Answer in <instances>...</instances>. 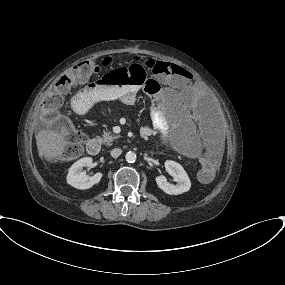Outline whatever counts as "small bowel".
Here are the masks:
<instances>
[{
  "label": "small bowel",
  "mask_w": 285,
  "mask_h": 285,
  "mask_svg": "<svg viewBox=\"0 0 285 285\" xmlns=\"http://www.w3.org/2000/svg\"><path fill=\"white\" fill-rule=\"evenodd\" d=\"M185 84L186 79L183 76L174 82V86L180 89H183ZM140 88V86L132 85L104 87L96 82H90L71 97L70 105L75 112H81L87 106L99 101L120 100L130 106L135 103L136 94ZM163 109L170 112L169 121L172 123L179 124L183 120L184 109L179 100L163 95L152 98L150 113L152 124L141 129L140 136L142 138L146 139L157 134L163 142L169 141L168 119L165 117ZM200 139L208 148L204 159L217 166V158L222 146L220 137L212 131H205L200 134Z\"/></svg>",
  "instance_id": "1"
}]
</instances>
